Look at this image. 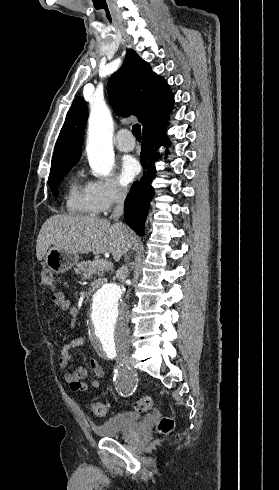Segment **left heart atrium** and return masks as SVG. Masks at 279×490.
<instances>
[{
    "mask_svg": "<svg viewBox=\"0 0 279 490\" xmlns=\"http://www.w3.org/2000/svg\"><path fill=\"white\" fill-rule=\"evenodd\" d=\"M140 164L133 156H124L121 161L120 177L123 183H130L139 173Z\"/></svg>",
    "mask_w": 279,
    "mask_h": 490,
    "instance_id": "left-heart-atrium-1",
    "label": "left heart atrium"
}]
</instances>
